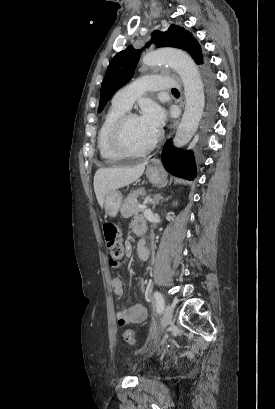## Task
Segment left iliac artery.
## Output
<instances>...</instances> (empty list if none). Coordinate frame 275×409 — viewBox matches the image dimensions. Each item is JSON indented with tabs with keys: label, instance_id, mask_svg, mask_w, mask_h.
<instances>
[{
	"label": "left iliac artery",
	"instance_id": "left-iliac-artery-1",
	"mask_svg": "<svg viewBox=\"0 0 275 409\" xmlns=\"http://www.w3.org/2000/svg\"><path fill=\"white\" fill-rule=\"evenodd\" d=\"M153 296H154V299H155V302H156V310H157V312L159 314H161L163 312V310H164V299H163L161 293L158 292V291H155L153 293Z\"/></svg>",
	"mask_w": 275,
	"mask_h": 409
}]
</instances>
